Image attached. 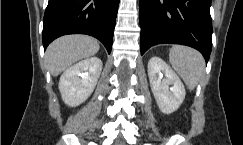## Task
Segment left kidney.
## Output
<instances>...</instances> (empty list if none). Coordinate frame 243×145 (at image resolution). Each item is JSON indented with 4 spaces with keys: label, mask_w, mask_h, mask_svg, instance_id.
<instances>
[{
    "label": "left kidney",
    "mask_w": 243,
    "mask_h": 145,
    "mask_svg": "<svg viewBox=\"0 0 243 145\" xmlns=\"http://www.w3.org/2000/svg\"><path fill=\"white\" fill-rule=\"evenodd\" d=\"M148 77L161 112L171 114L176 111L185 98L184 85L176 73L161 58L152 57L148 62Z\"/></svg>",
    "instance_id": "1"
}]
</instances>
